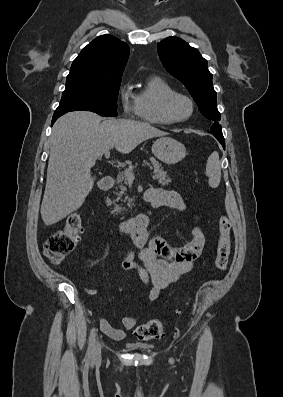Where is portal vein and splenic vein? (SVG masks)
<instances>
[{"label": "portal vein and splenic vein", "mask_w": 283, "mask_h": 397, "mask_svg": "<svg viewBox=\"0 0 283 397\" xmlns=\"http://www.w3.org/2000/svg\"><path fill=\"white\" fill-rule=\"evenodd\" d=\"M109 157H110V150H107L105 152V158L108 160ZM124 175L127 177L128 180H134L135 178L133 170L124 171Z\"/></svg>", "instance_id": "portal-vein-and-splenic-vein-1"}]
</instances>
